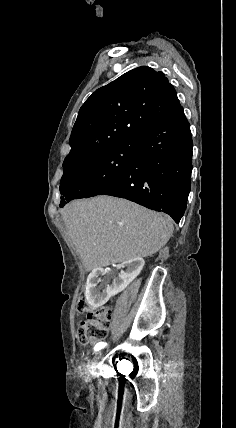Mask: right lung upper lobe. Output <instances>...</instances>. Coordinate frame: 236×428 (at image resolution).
<instances>
[{"label": "right lung upper lobe", "instance_id": "right-lung-upper-lobe-1", "mask_svg": "<svg viewBox=\"0 0 236 428\" xmlns=\"http://www.w3.org/2000/svg\"><path fill=\"white\" fill-rule=\"evenodd\" d=\"M181 107L162 72L141 66L97 89L82 105L70 136L66 168L122 141L136 139Z\"/></svg>", "mask_w": 236, "mask_h": 428}]
</instances>
